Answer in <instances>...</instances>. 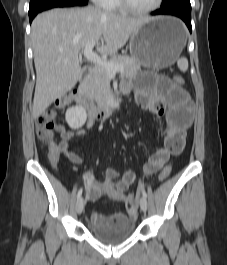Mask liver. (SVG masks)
<instances>
[{
  "label": "liver",
  "mask_w": 227,
  "mask_h": 265,
  "mask_svg": "<svg viewBox=\"0 0 227 265\" xmlns=\"http://www.w3.org/2000/svg\"><path fill=\"white\" fill-rule=\"evenodd\" d=\"M147 21L95 7L53 9L37 15L31 25L37 75L33 118L75 86L83 74L78 54L88 42L96 41L99 53L114 55Z\"/></svg>",
  "instance_id": "1"
}]
</instances>
